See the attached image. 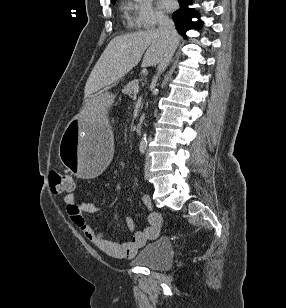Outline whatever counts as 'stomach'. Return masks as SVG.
<instances>
[{"label":"stomach","instance_id":"1","mask_svg":"<svg viewBox=\"0 0 286 308\" xmlns=\"http://www.w3.org/2000/svg\"><path fill=\"white\" fill-rule=\"evenodd\" d=\"M113 102V95H99L92 107L84 108L83 117L69 118L66 122V130H62L56 149H60L61 164L72 173L94 177L113 159L110 149L115 126H109Z\"/></svg>","mask_w":286,"mask_h":308}]
</instances>
